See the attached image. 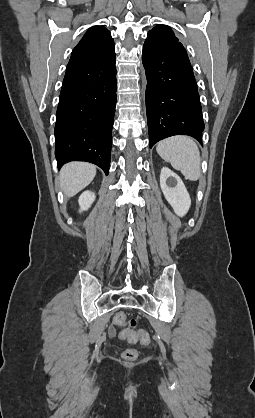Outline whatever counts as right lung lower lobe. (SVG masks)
<instances>
[{
    "mask_svg": "<svg viewBox=\"0 0 255 418\" xmlns=\"http://www.w3.org/2000/svg\"><path fill=\"white\" fill-rule=\"evenodd\" d=\"M115 57L66 70L55 124L58 167L87 161L109 171L116 105Z\"/></svg>",
    "mask_w": 255,
    "mask_h": 418,
    "instance_id": "obj_1",
    "label": "right lung lower lobe"
}]
</instances>
